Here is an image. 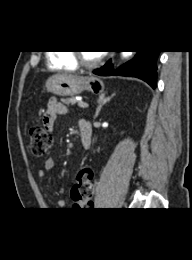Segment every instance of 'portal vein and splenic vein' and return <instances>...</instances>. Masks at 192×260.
Returning a JSON list of instances; mask_svg holds the SVG:
<instances>
[{
	"mask_svg": "<svg viewBox=\"0 0 192 260\" xmlns=\"http://www.w3.org/2000/svg\"><path fill=\"white\" fill-rule=\"evenodd\" d=\"M78 106H79L80 108H87V107H88V104L85 103V102H83V101H79V102H78Z\"/></svg>",
	"mask_w": 192,
	"mask_h": 260,
	"instance_id": "obj_1",
	"label": "portal vein and splenic vein"
}]
</instances>
